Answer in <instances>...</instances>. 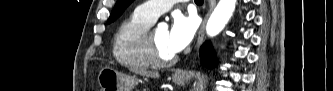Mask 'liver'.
I'll use <instances>...</instances> for the list:
<instances>
[{"instance_id":"obj_1","label":"liver","mask_w":333,"mask_h":91,"mask_svg":"<svg viewBox=\"0 0 333 91\" xmlns=\"http://www.w3.org/2000/svg\"><path fill=\"white\" fill-rule=\"evenodd\" d=\"M137 73L141 76H146V77H151V78H159V73L158 72H149L145 70H139Z\"/></svg>"}]
</instances>
